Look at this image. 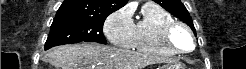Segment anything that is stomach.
I'll list each match as a JSON object with an SVG mask.
<instances>
[{"label": "stomach", "instance_id": "obj_1", "mask_svg": "<svg viewBox=\"0 0 246 69\" xmlns=\"http://www.w3.org/2000/svg\"><path fill=\"white\" fill-rule=\"evenodd\" d=\"M160 69H186V68L180 63H168L162 66Z\"/></svg>", "mask_w": 246, "mask_h": 69}]
</instances>
